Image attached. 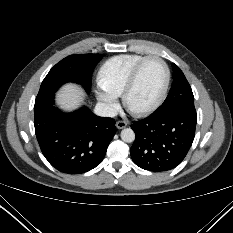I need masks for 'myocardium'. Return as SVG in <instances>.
<instances>
[{
	"mask_svg": "<svg viewBox=\"0 0 233 233\" xmlns=\"http://www.w3.org/2000/svg\"><path fill=\"white\" fill-rule=\"evenodd\" d=\"M151 59L159 61L164 68L165 81H164L163 88H162L159 96L157 97V99L153 103H151L150 105H148L147 107H144V108L132 109L128 103L129 95L131 94L132 90L134 89V87L136 85L137 78H138V75H139V72H140L142 66L144 65V63H146L148 60H151ZM170 79H171L170 69H169L167 63L161 57H159L157 55L145 56L133 67V69L131 70V72L128 76L127 82H126L125 87L122 91V101H123L124 106L126 107V109L129 112H131L132 114H134L136 116H145V115L151 114L152 112L157 110L161 106L163 101L165 100L168 89H169V85H170Z\"/></svg>",
	"mask_w": 233,
	"mask_h": 233,
	"instance_id": "myocardium-1",
	"label": "myocardium"
}]
</instances>
